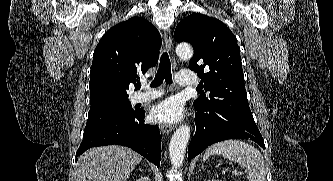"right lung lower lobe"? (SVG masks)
Here are the masks:
<instances>
[{
  "label": "right lung lower lobe",
  "mask_w": 333,
  "mask_h": 181,
  "mask_svg": "<svg viewBox=\"0 0 333 181\" xmlns=\"http://www.w3.org/2000/svg\"><path fill=\"white\" fill-rule=\"evenodd\" d=\"M144 112H134L100 125L86 128L76 157L91 147L123 145L140 153L146 159L160 165L161 135L157 125L144 122Z\"/></svg>",
  "instance_id": "right-lung-lower-lobe-1"
}]
</instances>
